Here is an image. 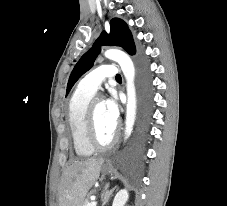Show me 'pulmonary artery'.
Returning <instances> with one entry per match:
<instances>
[{
  "instance_id": "obj_1",
  "label": "pulmonary artery",
  "mask_w": 227,
  "mask_h": 206,
  "mask_svg": "<svg viewBox=\"0 0 227 206\" xmlns=\"http://www.w3.org/2000/svg\"><path fill=\"white\" fill-rule=\"evenodd\" d=\"M118 70L114 65H101L81 79L78 87L95 93L103 81L115 78Z\"/></svg>"
}]
</instances>
